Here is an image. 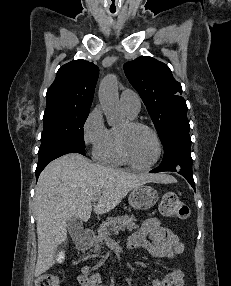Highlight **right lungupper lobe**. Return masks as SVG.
I'll use <instances>...</instances> for the list:
<instances>
[{
    "instance_id": "1",
    "label": "right lung upper lobe",
    "mask_w": 231,
    "mask_h": 286,
    "mask_svg": "<svg viewBox=\"0 0 231 286\" xmlns=\"http://www.w3.org/2000/svg\"><path fill=\"white\" fill-rule=\"evenodd\" d=\"M98 75V67L85 60L79 59L63 65L47 91L46 107L90 108Z\"/></svg>"
}]
</instances>
